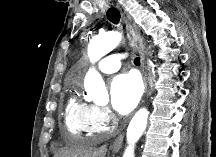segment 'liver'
Here are the masks:
<instances>
[{
	"mask_svg": "<svg viewBox=\"0 0 216 157\" xmlns=\"http://www.w3.org/2000/svg\"><path fill=\"white\" fill-rule=\"evenodd\" d=\"M105 152L88 148L84 145H74L56 154V157H102Z\"/></svg>",
	"mask_w": 216,
	"mask_h": 157,
	"instance_id": "6515ba94",
	"label": "liver"
}]
</instances>
